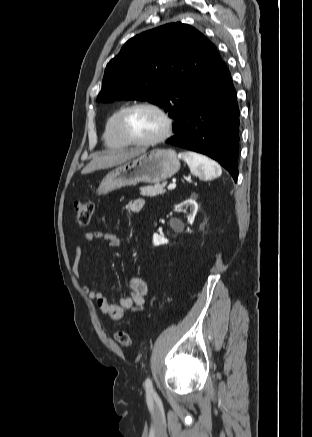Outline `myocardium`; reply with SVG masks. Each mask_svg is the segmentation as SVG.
<instances>
[{
  "mask_svg": "<svg viewBox=\"0 0 312 437\" xmlns=\"http://www.w3.org/2000/svg\"><path fill=\"white\" fill-rule=\"evenodd\" d=\"M138 108H149L156 112L164 121V129L160 135H158L155 138L149 139V140H139L134 138L130 132L127 129V119L130 116V114L138 109ZM173 123L172 119L169 116V114L161 108L159 105L142 101L134 103L128 107H126L120 114L118 119V130L120 135L123 137V139L129 144V145H136V146H154L157 144H160L164 141H166L171 133H172Z\"/></svg>",
  "mask_w": 312,
  "mask_h": 437,
  "instance_id": "f54148a6",
  "label": "myocardium"
}]
</instances>
